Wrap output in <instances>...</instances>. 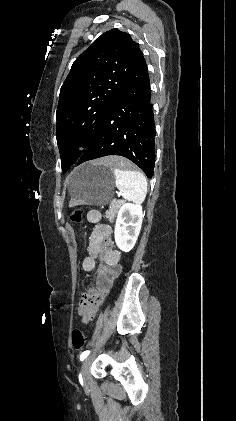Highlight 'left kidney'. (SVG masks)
I'll return each instance as SVG.
<instances>
[{"label": "left kidney", "mask_w": 236, "mask_h": 421, "mask_svg": "<svg viewBox=\"0 0 236 421\" xmlns=\"http://www.w3.org/2000/svg\"><path fill=\"white\" fill-rule=\"evenodd\" d=\"M142 221L140 204H122L115 225V243L124 253L133 249L141 231Z\"/></svg>", "instance_id": "obj_1"}]
</instances>
